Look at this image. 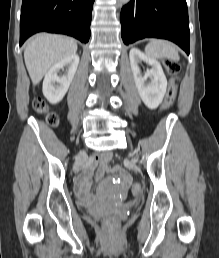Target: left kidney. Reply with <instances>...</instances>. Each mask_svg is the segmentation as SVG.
<instances>
[{
    "instance_id": "1",
    "label": "left kidney",
    "mask_w": 219,
    "mask_h": 258,
    "mask_svg": "<svg viewBox=\"0 0 219 258\" xmlns=\"http://www.w3.org/2000/svg\"><path fill=\"white\" fill-rule=\"evenodd\" d=\"M131 69L138 93L149 109H156L163 101L167 89V79L160 63L145 55L137 48H132L129 53ZM144 61L151 69L142 75L138 63ZM149 83H145L147 79Z\"/></svg>"
}]
</instances>
